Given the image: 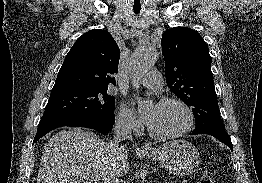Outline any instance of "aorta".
Returning <instances> with one entry per match:
<instances>
[{
    "label": "aorta",
    "instance_id": "obj_1",
    "mask_svg": "<svg viewBox=\"0 0 262 183\" xmlns=\"http://www.w3.org/2000/svg\"><path fill=\"white\" fill-rule=\"evenodd\" d=\"M157 60V52L152 47L140 46L132 54L130 60V71L134 76H140L147 73L155 64ZM137 89L138 86L134 84ZM149 100H139L138 108L142 109L148 106Z\"/></svg>",
    "mask_w": 262,
    "mask_h": 183
}]
</instances>
